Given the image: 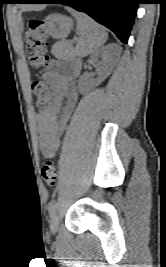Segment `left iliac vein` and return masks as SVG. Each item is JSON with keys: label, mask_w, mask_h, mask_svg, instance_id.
Masks as SVG:
<instances>
[{"label": "left iliac vein", "mask_w": 166, "mask_h": 267, "mask_svg": "<svg viewBox=\"0 0 166 267\" xmlns=\"http://www.w3.org/2000/svg\"><path fill=\"white\" fill-rule=\"evenodd\" d=\"M59 224H60V214L53 215L51 224H50L51 233L55 234L58 231Z\"/></svg>", "instance_id": "4c4485c4"}]
</instances>
